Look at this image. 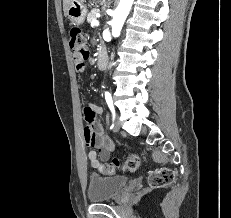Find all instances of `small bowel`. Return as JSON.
<instances>
[{
    "label": "small bowel",
    "mask_w": 231,
    "mask_h": 218,
    "mask_svg": "<svg viewBox=\"0 0 231 218\" xmlns=\"http://www.w3.org/2000/svg\"><path fill=\"white\" fill-rule=\"evenodd\" d=\"M87 59V56L81 57L79 54H74L75 65L79 72L84 71ZM102 112L103 108L95 105H89L85 109V117L89 125L83 128L82 135L86 146L96 148V150L93 149L87 153V158L93 168H99L101 161L108 160L113 150L112 142L105 137L101 127L92 122L95 114H102Z\"/></svg>",
    "instance_id": "1"
}]
</instances>
